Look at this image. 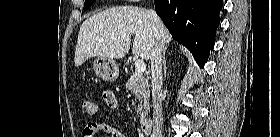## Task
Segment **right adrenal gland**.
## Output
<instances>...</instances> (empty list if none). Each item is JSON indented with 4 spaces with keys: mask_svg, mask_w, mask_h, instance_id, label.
<instances>
[{
    "mask_svg": "<svg viewBox=\"0 0 280 137\" xmlns=\"http://www.w3.org/2000/svg\"><path fill=\"white\" fill-rule=\"evenodd\" d=\"M166 50H167V48H164L163 52H162V61H163L164 75H166V70H167V67H166V57H165Z\"/></svg>",
    "mask_w": 280,
    "mask_h": 137,
    "instance_id": "2a0ac1e0",
    "label": "right adrenal gland"
}]
</instances>
